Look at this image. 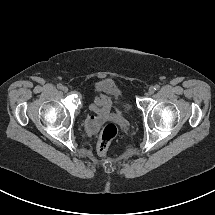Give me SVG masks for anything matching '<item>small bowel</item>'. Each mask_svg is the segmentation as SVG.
I'll return each mask as SVG.
<instances>
[{"instance_id": "1", "label": "small bowel", "mask_w": 215, "mask_h": 215, "mask_svg": "<svg viewBox=\"0 0 215 215\" xmlns=\"http://www.w3.org/2000/svg\"><path fill=\"white\" fill-rule=\"evenodd\" d=\"M111 103L112 100L103 95L94 99L93 103L90 105V109L94 111L97 116H89L85 122V127L89 136L94 137L97 135L100 122L108 117Z\"/></svg>"}]
</instances>
